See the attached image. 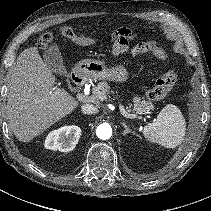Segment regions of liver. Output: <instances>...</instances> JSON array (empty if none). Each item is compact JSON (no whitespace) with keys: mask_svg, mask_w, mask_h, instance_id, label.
I'll list each match as a JSON object with an SVG mask.
<instances>
[{"mask_svg":"<svg viewBox=\"0 0 211 211\" xmlns=\"http://www.w3.org/2000/svg\"><path fill=\"white\" fill-rule=\"evenodd\" d=\"M79 103L56 85L37 47L23 50L11 70L7 118L15 137L29 142L70 114Z\"/></svg>","mask_w":211,"mask_h":211,"instance_id":"6515ba94","label":"liver"}]
</instances>
